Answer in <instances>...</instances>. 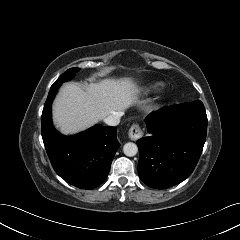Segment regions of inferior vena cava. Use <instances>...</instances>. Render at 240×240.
Returning a JSON list of instances; mask_svg holds the SVG:
<instances>
[{"label": "inferior vena cava", "instance_id": "obj_1", "mask_svg": "<svg viewBox=\"0 0 240 240\" xmlns=\"http://www.w3.org/2000/svg\"><path fill=\"white\" fill-rule=\"evenodd\" d=\"M121 113H114L113 115H109L104 119V122L109 126H117L120 123Z\"/></svg>", "mask_w": 240, "mask_h": 240}]
</instances>
